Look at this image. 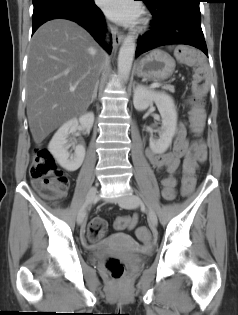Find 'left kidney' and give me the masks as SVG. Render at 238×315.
Returning <instances> with one entry per match:
<instances>
[{"label":"left kidney","instance_id":"1","mask_svg":"<svg viewBox=\"0 0 238 315\" xmlns=\"http://www.w3.org/2000/svg\"><path fill=\"white\" fill-rule=\"evenodd\" d=\"M155 103L162 118L159 138H150V148L156 154L164 153L172 143L177 127V112L172 97L164 92H157L143 85L134 90L133 104L136 110H146Z\"/></svg>","mask_w":238,"mask_h":315}]
</instances>
